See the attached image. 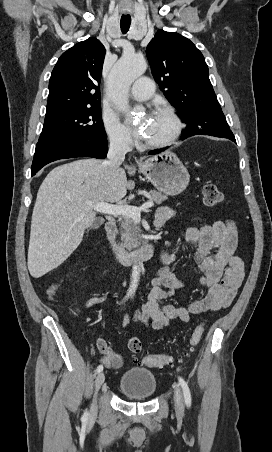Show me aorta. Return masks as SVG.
<instances>
[{
    "mask_svg": "<svg viewBox=\"0 0 272 452\" xmlns=\"http://www.w3.org/2000/svg\"><path fill=\"white\" fill-rule=\"evenodd\" d=\"M147 68L144 58L137 55H123L114 65L108 77V94L115 107L122 112L130 110L128 91L131 84L140 77ZM141 263H134L128 289L130 295L135 294L140 280Z\"/></svg>",
    "mask_w": 272,
    "mask_h": 452,
    "instance_id": "762f6f07",
    "label": "aorta"
}]
</instances>
